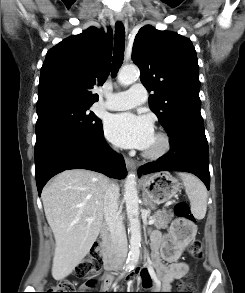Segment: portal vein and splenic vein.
I'll return each instance as SVG.
<instances>
[{
    "instance_id": "1",
    "label": "portal vein and splenic vein",
    "mask_w": 245,
    "mask_h": 293,
    "mask_svg": "<svg viewBox=\"0 0 245 293\" xmlns=\"http://www.w3.org/2000/svg\"><path fill=\"white\" fill-rule=\"evenodd\" d=\"M154 221L153 220H151V221H149V224H151V223H153Z\"/></svg>"
}]
</instances>
